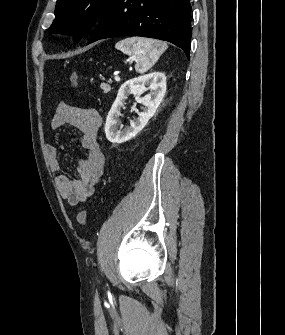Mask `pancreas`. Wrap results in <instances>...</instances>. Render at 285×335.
<instances>
[{"label": "pancreas", "instance_id": "cf45deb5", "mask_svg": "<svg viewBox=\"0 0 285 335\" xmlns=\"http://www.w3.org/2000/svg\"><path fill=\"white\" fill-rule=\"evenodd\" d=\"M101 88L102 90H104V94H107V92H110V90H112L111 86H109V84H101Z\"/></svg>", "mask_w": 285, "mask_h": 335}]
</instances>
